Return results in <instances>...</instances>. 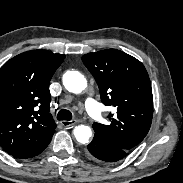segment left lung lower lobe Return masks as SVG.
I'll use <instances>...</instances> for the list:
<instances>
[{"label": "left lung lower lobe", "instance_id": "0a47b994", "mask_svg": "<svg viewBox=\"0 0 183 183\" xmlns=\"http://www.w3.org/2000/svg\"><path fill=\"white\" fill-rule=\"evenodd\" d=\"M129 151L124 150L95 133L92 142L87 146L86 155L100 163H113L123 159Z\"/></svg>", "mask_w": 183, "mask_h": 183}]
</instances>
